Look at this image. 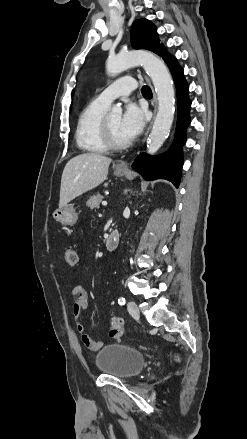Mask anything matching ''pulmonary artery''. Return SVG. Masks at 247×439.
Wrapping results in <instances>:
<instances>
[{
	"label": "pulmonary artery",
	"instance_id": "1",
	"mask_svg": "<svg viewBox=\"0 0 247 439\" xmlns=\"http://www.w3.org/2000/svg\"><path fill=\"white\" fill-rule=\"evenodd\" d=\"M135 88L136 81L132 77H123L108 86L96 97V99L109 105L118 97L130 95Z\"/></svg>",
	"mask_w": 247,
	"mask_h": 439
}]
</instances>
